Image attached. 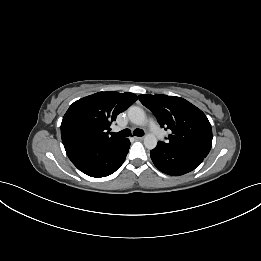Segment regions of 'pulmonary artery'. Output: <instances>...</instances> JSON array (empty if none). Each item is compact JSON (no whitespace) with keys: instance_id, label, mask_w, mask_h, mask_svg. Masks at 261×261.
<instances>
[{"instance_id":"pulmonary-artery-1","label":"pulmonary artery","mask_w":261,"mask_h":261,"mask_svg":"<svg viewBox=\"0 0 261 261\" xmlns=\"http://www.w3.org/2000/svg\"><path fill=\"white\" fill-rule=\"evenodd\" d=\"M149 127L155 136H157L159 139H163V132L153 120H150Z\"/></svg>"}]
</instances>
